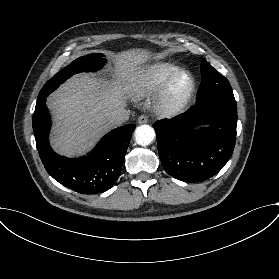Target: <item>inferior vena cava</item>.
I'll return each instance as SVG.
<instances>
[{
  "label": "inferior vena cava",
  "instance_id": "1",
  "mask_svg": "<svg viewBox=\"0 0 279 279\" xmlns=\"http://www.w3.org/2000/svg\"><path fill=\"white\" fill-rule=\"evenodd\" d=\"M130 119L129 110L119 107L111 112L110 119L108 121L110 126H118Z\"/></svg>",
  "mask_w": 279,
  "mask_h": 279
}]
</instances>
